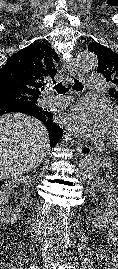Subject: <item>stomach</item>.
Listing matches in <instances>:
<instances>
[{"label":"stomach","mask_w":118,"mask_h":269,"mask_svg":"<svg viewBox=\"0 0 118 269\" xmlns=\"http://www.w3.org/2000/svg\"><path fill=\"white\" fill-rule=\"evenodd\" d=\"M103 167H111L112 166V161L109 159H104L103 160Z\"/></svg>","instance_id":"1"}]
</instances>
